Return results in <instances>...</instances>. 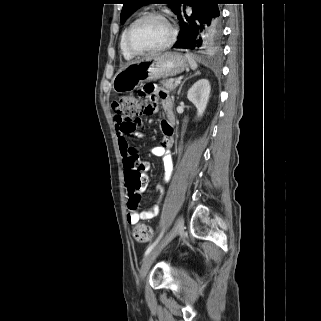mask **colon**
Segmentation results:
<instances>
[{
    "label": "colon",
    "mask_w": 321,
    "mask_h": 321,
    "mask_svg": "<svg viewBox=\"0 0 321 321\" xmlns=\"http://www.w3.org/2000/svg\"><path fill=\"white\" fill-rule=\"evenodd\" d=\"M118 113L125 119H132L135 116L148 114L152 111L151 105L144 96L125 95L117 102ZM125 185L129 196V206L135 208L147 185L145 171L148 168L146 162L140 158H131L125 166ZM134 239L140 243H147L153 236V230L146 224L140 223L132 230Z\"/></svg>",
    "instance_id": "obj_1"
}]
</instances>
